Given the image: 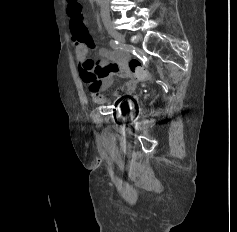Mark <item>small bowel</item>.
<instances>
[{
  "label": "small bowel",
  "instance_id": "obj_1",
  "mask_svg": "<svg viewBox=\"0 0 237 232\" xmlns=\"http://www.w3.org/2000/svg\"><path fill=\"white\" fill-rule=\"evenodd\" d=\"M71 29L79 75L92 99L96 103H105L107 98L103 91L111 85L115 76L127 77L128 80L116 90L114 96L120 98L132 93L135 89V81L129 73L127 58L120 52L98 48L86 27L83 32L74 30L72 26ZM95 51L101 58L100 62H95L89 57Z\"/></svg>",
  "mask_w": 237,
  "mask_h": 232
}]
</instances>
